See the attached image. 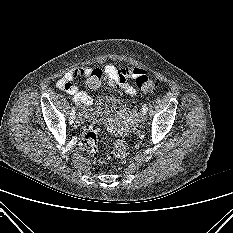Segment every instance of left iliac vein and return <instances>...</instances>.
<instances>
[{
	"label": "left iliac vein",
	"instance_id": "4c4485c4",
	"mask_svg": "<svg viewBox=\"0 0 233 233\" xmlns=\"http://www.w3.org/2000/svg\"><path fill=\"white\" fill-rule=\"evenodd\" d=\"M146 113H144L143 111L140 113V119L141 121H145L146 120Z\"/></svg>",
	"mask_w": 233,
	"mask_h": 233
}]
</instances>
